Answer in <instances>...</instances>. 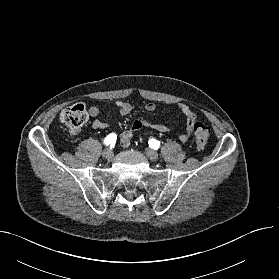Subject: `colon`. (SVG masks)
Wrapping results in <instances>:
<instances>
[{
  "instance_id": "colon-1",
  "label": "colon",
  "mask_w": 279,
  "mask_h": 279,
  "mask_svg": "<svg viewBox=\"0 0 279 279\" xmlns=\"http://www.w3.org/2000/svg\"><path fill=\"white\" fill-rule=\"evenodd\" d=\"M88 119V112L84 104L77 103L65 108L60 114V122L71 132H78ZM196 146L199 150L206 147L210 134L208 126L204 123L197 122L194 127Z\"/></svg>"
}]
</instances>
